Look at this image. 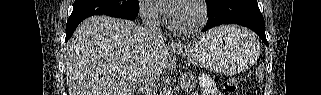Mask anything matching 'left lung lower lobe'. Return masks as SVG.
Here are the masks:
<instances>
[{"instance_id":"left-lung-lower-lobe-1","label":"left lung lower lobe","mask_w":321,"mask_h":95,"mask_svg":"<svg viewBox=\"0 0 321 95\" xmlns=\"http://www.w3.org/2000/svg\"><path fill=\"white\" fill-rule=\"evenodd\" d=\"M207 12L209 18L203 31L221 24H239L253 30L268 46L257 0H211L207 2Z\"/></svg>"}]
</instances>
